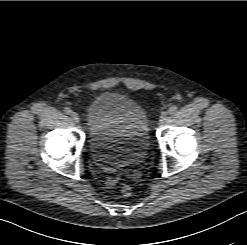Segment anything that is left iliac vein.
I'll list each match as a JSON object with an SVG mask.
<instances>
[{
  "label": "left iliac vein",
  "instance_id": "obj_1",
  "mask_svg": "<svg viewBox=\"0 0 247 245\" xmlns=\"http://www.w3.org/2000/svg\"><path fill=\"white\" fill-rule=\"evenodd\" d=\"M168 117V112L164 111L161 113L160 118H159V123L162 125L165 123L166 119Z\"/></svg>",
  "mask_w": 247,
  "mask_h": 245
}]
</instances>
